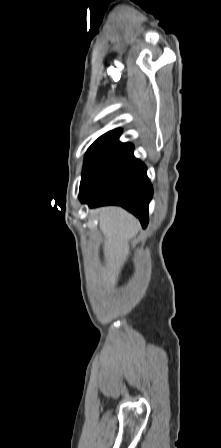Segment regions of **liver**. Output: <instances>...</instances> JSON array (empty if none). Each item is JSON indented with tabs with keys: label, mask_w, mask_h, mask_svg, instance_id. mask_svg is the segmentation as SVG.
Wrapping results in <instances>:
<instances>
[{
	"label": "liver",
	"mask_w": 221,
	"mask_h": 448,
	"mask_svg": "<svg viewBox=\"0 0 221 448\" xmlns=\"http://www.w3.org/2000/svg\"><path fill=\"white\" fill-rule=\"evenodd\" d=\"M92 213L98 217L105 237L102 278L108 286L114 287L130 252L129 241L138 233L140 225L132 214L120 207H101Z\"/></svg>",
	"instance_id": "6515ba94"
}]
</instances>
